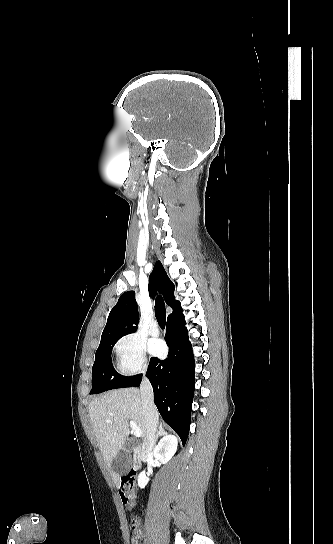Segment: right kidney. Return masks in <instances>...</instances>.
I'll use <instances>...</instances> for the list:
<instances>
[{
	"instance_id": "ca27d5eb",
	"label": "right kidney",
	"mask_w": 333,
	"mask_h": 544,
	"mask_svg": "<svg viewBox=\"0 0 333 544\" xmlns=\"http://www.w3.org/2000/svg\"><path fill=\"white\" fill-rule=\"evenodd\" d=\"M178 446L177 438L174 435L166 434L153 450L155 459L166 464L176 453ZM149 478L145 471H142L138 476V485L144 488L148 484Z\"/></svg>"
}]
</instances>
